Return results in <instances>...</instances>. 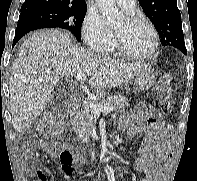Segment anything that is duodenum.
I'll list each match as a JSON object with an SVG mask.
<instances>
[{
	"instance_id": "1",
	"label": "duodenum",
	"mask_w": 197,
	"mask_h": 181,
	"mask_svg": "<svg viewBox=\"0 0 197 181\" xmlns=\"http://www.w3.org/2000/svg\"><path fill=\"white\" fill-rule=\"evenodd\" d=\"M79 110V104L75 101L71 102L69 107H68V111L70 114H74Z\"/></svg>"
}]
</instances>
